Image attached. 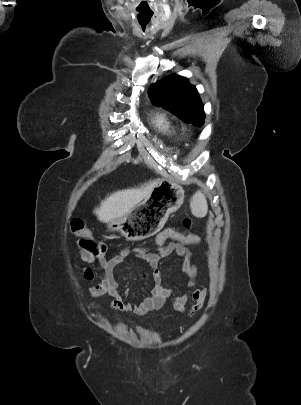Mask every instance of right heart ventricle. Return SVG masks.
<instances>
[{
	"label": "right heart ventricle",
	"mask_w": 301,
	"mask_h": 405,
	"mask_svg": "<svg viewBox=\"0 0 301 405\" xmlns=\"http://www.w3.org/2000/svg\"><path fill=\"white\" fill-rule=\"evenodd\" d=\"M153 123L159 131L165 134L168 135L176 134L177 130L173 121L163 113L156 114L153 118Z\"/></svg>",
	"instance_id": "e07e8e85"
}]
</instances>
